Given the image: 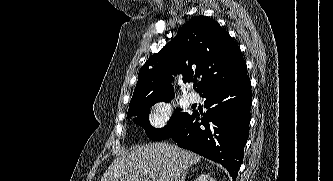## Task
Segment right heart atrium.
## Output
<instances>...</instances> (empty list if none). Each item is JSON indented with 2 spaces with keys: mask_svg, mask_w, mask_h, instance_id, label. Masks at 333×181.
Instances as JSON below:
<instances>
[{
  "mask_svg": "<svg viewBox=\"0 0 333 181\" xmlns=\"http://www.w3.org/2000/svg\"><path fill=\"white\" fill-rule=\"evenodd\" d=\"M173 113V106L167 100L154 102L148 112V120L152 127L156 129L163 128L168 123Z\"/></svg>",
  "mask_w": 333,
  "mask_h": 181,
  "instance_id": "d8ad5b80",
  "label": "right heart atrium"
}]
</instances>
